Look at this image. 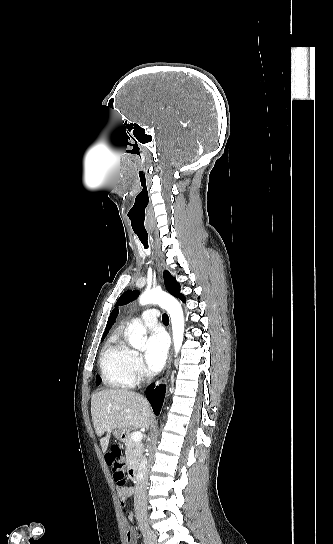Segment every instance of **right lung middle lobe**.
<instances>
[{
	"instance_id": "right-lung-middle-lobe-1",
	"label": "right lung middle lobe",
	"mask_w": 333,
	"mask_h": 544,
	"mask_svg": "<svg viewBox=\"0 0 333 544\" xmlns=\"http://www.w3.org/2000/svg\"><path fill=\"white\" fill-rule=\"evenodd\" d=\"M105 337H102V340L104 339ZM97 385L100 384V379L97 377V381H96Z\"/></svg>"
}]
</instances>
